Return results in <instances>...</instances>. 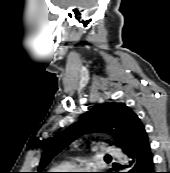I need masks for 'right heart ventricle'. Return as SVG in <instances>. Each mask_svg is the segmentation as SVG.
<instances>
[{
    "mask_svg": "<svg viewBox=\"0 0 170 173\" xmlns=\"http://www.w3.org/2000/svg\"><path fill=\"white\" fill-rule=\"evenodd\" d=\"M72 167L73 165L71 163L63 162L61 166L58 167V169H60V171H69Z\"/></svg>",
    "mask_w": 170,
    "mask_h": 173,
    "instance_id": "obj_1",
    "label": "right heart ventricle"
}]
</instances>
